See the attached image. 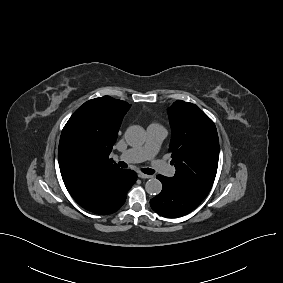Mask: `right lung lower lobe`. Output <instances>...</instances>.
I'll list each match as a JSON object with an SVG mask.
<instances>
[{
  "mask_svg": "<svg viewBox=\"0 0 283 283\" xmlns=\"http://www.w3.org/2000/svg\"><path fill=\"white\" fill-rule=\"evenodd\" d=\"M136 180L137 174L132 170L109 171L72 197L80 206L90 212L109 214L124 204L126 194Z\"/></svg>",
  "mask_w": 283,
  "mask_h": 283,
  "instance_id": "obj_1",
  "label": "right lung lower lobe"
}]
</instances>
